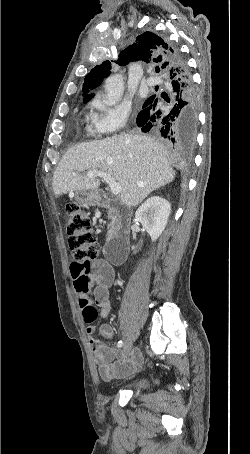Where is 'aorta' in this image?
Here are the masks:
<instances>
[{"label":"aorta","instance_id":"obj_1","mask_svg":"<svg viewBox=\"0 0 250 454\" xmlns=\"http://www.w3.org/2000/svg\"><path fill=\"white\" fill-rule=\"evenodd\" d=\"M106 95L104 102L108 106L116 105L124 93V81L121 74H114L107 78L105 81Z\"/></svg>","mask_w":250,"mask_h":454}]
</instances>
